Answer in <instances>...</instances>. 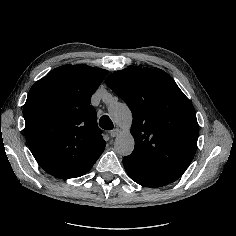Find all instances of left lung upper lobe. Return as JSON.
Listing matches in <instances>:
<instances>
[{"mask_svg": "<svg viewBox=\"0 0 236 236\" xmlns=\"http://www.w3.org/2000/svg\"><path fill=\"white\" fill-rule=\"evenodd\" d=\"M131 109L135 140L130 159L170 182L190 165L197 150L195 109L161 69L130 67L105 80Z\"/></svg>", "mask_w": 236, "mask_h": 236, "instance_id": "obj_1", "label": "left lung upper lobe"}]
</instances>
